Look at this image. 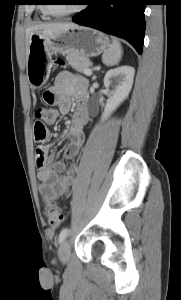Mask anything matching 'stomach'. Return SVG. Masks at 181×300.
<instances>
[{
  "label": "stomach",
  "instance_id": "obj_1",
  "mask_svg": "<svg viewBox=\"0 0 181 300\" xmlns=\"http://www.w3.org/2000/svg\"><path fill=\"white\" fill-rule=\"evenodd\" d=\"M109 47V38L104 33L78 25L54 36L33 34L27 57L28 80L34 87L46 83L54 53L76 52L89 59L105 52Z\"/></svg>",
  "mask_w": 181,
  "mask_h": 300
}]
</instances>
